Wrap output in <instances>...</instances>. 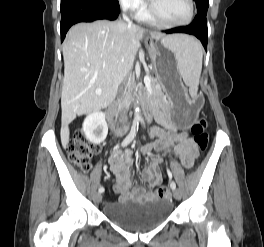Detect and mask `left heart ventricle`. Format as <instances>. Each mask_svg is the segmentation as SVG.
Here are the masks:
<instances>
[{
	"mask_svg": "<svg viewBox=\"0 0 264 247\" xmlns=\"http://www.w3.org/2000/svg\"><path fill=\"white\" fill-rule=\"evenodd\" d=\"M156 13L166 21L180 22L189 14L187 0H151Z\"/></svg>",
	"mask_w": 264,
	"mask_h": 247,
	"instance_id": "1",
	"label": "left heart ventricle"
}]
</instances>
